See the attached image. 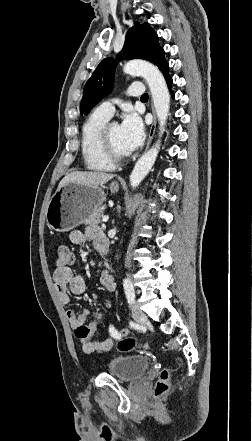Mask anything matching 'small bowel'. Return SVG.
<instances>
[{
	"mask_svg": "<svg viewBox=\"0 0 252 441\" xmlns=\"http://www.w3.org/2000/svg\"><path fill=\"white\" fill-rule=\"evenodd\" d=\"M70 241L73 244L80 245L89 243L94 249L98 250L100 244L107 243V239L102 234L99 228L91 227L85 231H72L70 233ZM97 276L100 284L108 291L113 292L116 284L113 276L107 270L99 269ZM54 285L62 304L67 305L70 302L68 290L73 294H82L86 289V283L81 275H77L70 267H57L53 274ZM111 307V301L106 300L101 306L95 307L96 310H108ZM90 310L84 309L81 313L75 310H68L66 312L67 319L71 327L76 331L84 326ZM128 330H122V335H127ZM114 339H106L104 341H90L88 340L84 346L83 351L87 353L93 352H109L113 347Z\"/></svg>",
	"mask_w": 252,
	"mask_h": 441,
	"instance_id": "obj_1",
	"label": "small bowel"
}]
</instances>
